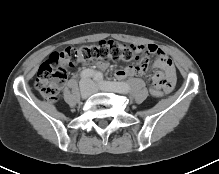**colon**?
<instances>
[{"mask_svg": "<svg viewBox=\"0 0 219 174\" xmlns=\"http://www.w3.org/2000/svg\"><path fill=\"white\" fill-rule=\"evenodd\" d=\"M105 60L125 62L137 60L141 65L147 63L145 58L139 56L132 46L113 40L68 47L63 51L52 53L41 64L35 80V87L46 100L55 101L66 81L69 68L79 64ZM150 93L156 99L163 96L161 88L157 87L152 88Z\"/></svg>", "mask_w": 219, "mask_h": 174, "instance_id": "5ec220e1", "label": "colon"}]
</instances>
